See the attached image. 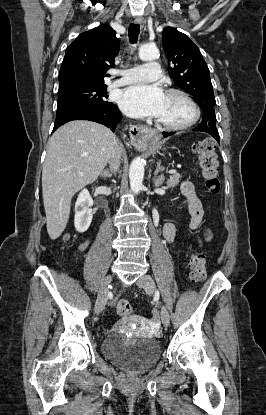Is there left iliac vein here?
<instances>
[{
  "label": "left iliac vein",
  "instance_id": "left-iliac-vein-1",
  "mask_svg": "<svg viewBox=\"0 0 266 415\" xmlns=\"http://www.w3.org/2000/svg\"><path fill=\"white\" fill-rule=\"evenodd\" d=\"M137 285L144 289L148 294L154 293L156 287L155 282L150 275H143L137 280ZM161 320L164 326H168L170 324V316L167 308L162 305L161 307Z\"/></svg>",
  "mask_w": 266,
  "mask_h": 415
}]
</instances>
